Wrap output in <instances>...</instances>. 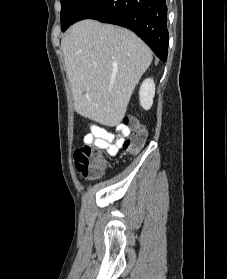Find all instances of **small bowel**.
Here are the masks:
<instances>
[{
  "label": "small bowel",
  "instance_id": "obj_1",
  "mask_svg": "<svg viewBox=\"0 0 227 279\" xmlns=\"http://www.w3.org/2000/svg\"><path fill=\"white\" fill-rule=\"evenodd\" d=\"M129 135V129L124 125H118L115 133L109 132L101 125L92 124L90 138L93 144L105 149L109 156L116 157L118 152L123 149L125 137Z\"/></svg>",
  "mask_w": 227,
  "mask_h": 279
}]
</instances>
